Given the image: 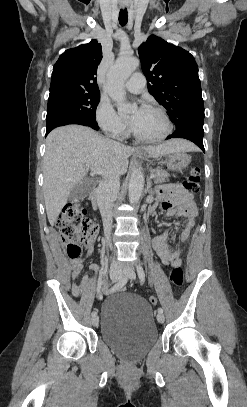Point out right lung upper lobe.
<instances>
[{
    "instance_id": "right-lung-upper-lobe-1",
    "label": "right lung upper lobe",
    "mask_w": 247,
    "mask_h": 407,
    "mask_svg": "<svg viewBox=\"0 0 247 407\" xmlns=\"http://www.w3.org/2000/svg\"><path fill=\"white\" fill-rule=\"evenodd\" d=\"M101 58V44L96 40L66 50L53 67L50 94L59 91L99 92L96 75Z\"/></svg>"
}]
</instances>
